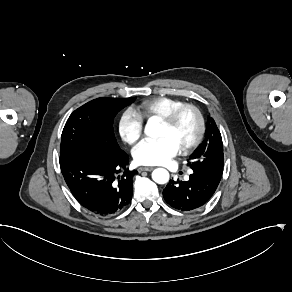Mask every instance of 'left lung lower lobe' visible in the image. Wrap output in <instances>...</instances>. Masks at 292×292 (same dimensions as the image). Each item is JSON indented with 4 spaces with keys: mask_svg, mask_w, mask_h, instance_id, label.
<instances>
[{
    "mask_svg": "<svg viewBox=\"0 0 292 292\" xmlns=\"http://www.w3.org/2000/svg\"><path fill=\"white\" fill-rule=\"evenodd\" d=\"M221 179L192 173L188 181L170 180L163 190L165 201L180 211L202 207L213 196Z\"/></svg>",
    "mask_w": 292,
    "mask_h": 292,
    "instance_id": "obj_1",
    "label": "left lung lower lobe"
}]
</instances>
